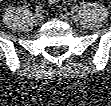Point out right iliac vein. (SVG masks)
Masks as SVG:
<instances>
[{
  "instance_id": "obj_1",
  "label": "right iliac vein",
  "mask_w": 111,
  "mask_h": 106,
  "mask_svg": "<svg viewBox=\"0 0 111 106\" xmlns=\"http://www.w3.org/2000/svg\"><path fill=\"white\" fill-rule=\"evenodd\" d=\"M42 14L41 13H36L33 17V21L36 24H39L42 21Z\"/></svg>"
}]
</instances>
